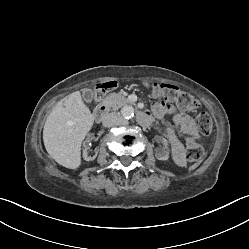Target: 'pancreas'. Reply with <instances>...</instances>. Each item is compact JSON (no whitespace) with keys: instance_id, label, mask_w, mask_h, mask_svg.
<instances>
[{"instance_id":"1","label":"pancreas","mask_w":249,"mask_h":249,"mask_svg":"<svg viewBox=\"0 0 249 249\" xmlns=\"http://www.w3.org/2000/svg\"><path fill=\"white\" fill-rule=\"evenodd\" d=\"M104 102L115 111L129 103V100L120 93H111L105 98Z\"/></svg>"}]
</instances>
